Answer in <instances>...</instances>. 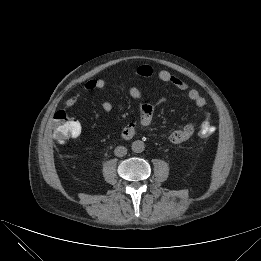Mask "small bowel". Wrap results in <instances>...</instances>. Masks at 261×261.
I'll return each mask as SVG.
<instances>
[{
  "instance_id": "1",
  "label": "small bowel",
  "mask_w": 261,
  "mask_h": 261,
  "mask_svg": "<svg viewBox=\"0 0 261 261\" xmlns=\"http://www.w3.org/2000/svg\"><path fill=\"white\" fill-rule=\"evenodd\" d=\"M136 73L142 77H149L152 75L153 70L149 65H140L136 69ZM158 78L163 81L172 84L175 86L177 89L182 90V91H187V97L189 98L190 101H192L198 108H204L206 106V99L199 93L198 90L196 89H189L188 84L179 78L178 76L172 74L171 72L167 70H161L157 74ZM106 85V82L102 78H92L89 79L85 83V89L86 90H95V89H103ZM129 95L135 99L141 102L140 106V124L143 127H147L152 123L153 120V114H154V109L153 106L145 99L143 93L141 90L137 87H130L128 90ZM77 102L76 97H71L69 98L66 103L65 107L67 109L72 108ZM113 106L109 101H105L102 103V109L104 112L108 113L112 110ZM78 122V121H77ZM210 122V116L208 113L204 114V119L201 123V125L205 123ZM79 128L81 130V126L78 122ZM196 124L191 121L187 123L185 126H183L180 129L174 130L171 132L169 135V141L173 144H180L189 138L192 137V135L195 132ZM122 137L125 139H131L135 136L136 134V126L134 124H129L125 126L122 129Z\"/></svg>"
}]
</instances>
